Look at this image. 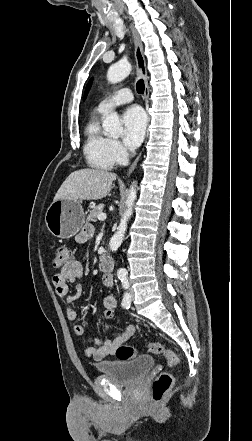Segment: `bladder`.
Instances as JSON below:
<instances>
[{
	"label": "bladder",
	"instance_id": "obj_1",
	"mask_svg": "<svg viewBox=\"0 0 252 441\" xmlns=\"http://www.w3.org/2000/svg\"><path fill=\"white\" fill-rule=\"evenodd\" d=\"M154 360L150 355H140L133 359L103 361L97 370L116 383L133 384L145 377L152 369Z\"/></svg>",
	"mask_w": 252,
	"mask_h": 441
}]
</instances>
